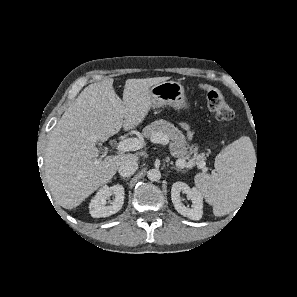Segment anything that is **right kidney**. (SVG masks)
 I'll list each match as a JSON object with an SVG mask.
<instances>
[{"instance_id": "ca27d5eb", "label": "right kidney", "mask_w": 297, "mask_h": 297, "mask_svg": "<svg viewBox=\"0 0 297 297\" xmlns=\"http://www.w3.org/2000/svg\"><path fill=\"white\" fill-rule=\"evenodd\" d=\"M114 195L115 199L110 205H106V200ZM124 203V188L122 185L103 186L96 193L95 197L91 200L89 209L90 214L94 218L108 217L117 213Z\"/></svg>"}]
</instances>
